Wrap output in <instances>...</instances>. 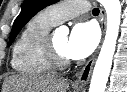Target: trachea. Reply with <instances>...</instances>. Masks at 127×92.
Instances as JSON below:
<instances>
[{
	"label": "trachea",
	"mask_w": 127,
	"mask_h": 92,
	"mask_svg": "<svg viewBox=\"0 0 127 92\" xmlns=\"http://www.w3.org/2000/svg\"><path fill=\"white\" fill-rule=\"evenodd\" d=\"M92 13H93L94 15H98V14H99V9H98V8H94V9L92 10Z\"/></svg>",
	"instance_id": "trachea-1"
}]
</instances>
